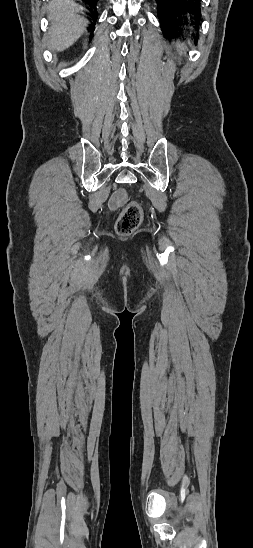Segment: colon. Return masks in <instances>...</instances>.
Returning a JSON list of instances; mask_svg holds the SVG:
<instances>
[{
    "mask_svg": "<svg viewBox=\"0 0 253 548\" xmlns=\"http://www.w3.org/2000/svg\"><path fill=\"white\" fill-rule=\"evenodd\" d=\"M142 220L143 209L141 205L136 201H132L120 213L115 230L120 236L131 235L140 226Z\"/></svg>",
    "mask_w": 253,
    "mask_h": 548,
    "instance_id": "1",
    "label": "colon"
}]
</instances>
